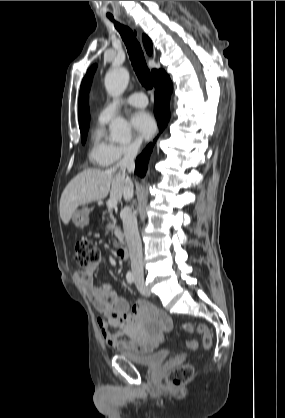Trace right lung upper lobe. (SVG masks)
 <instances>
[{"mask_svg": "<svg viewBox=\"0 0 285 418\" xmlns=\"http://www.w3.org/2000/svg\"><path fill=\"white\" fill-rule=\"evenodd\" d=\"M143 43H144V47L146 49V52L150 55L152 54L153 51V47H152V42L151 40L148 38V36L143 35ZM96 70V65L92 66L86 73L82 83H81V87H80V94H79V126L80 128L88 126L89 123V113H88V94H89V90H90V86H91V82H92V78H93V74ZM152 74L154 77V82L155 85L157 83L160 82L161 78L163 75H165V71L163 70H156L153 69L152 70Z\"/></svg>", "mask_w": 285, "mask_h": 418, "instance_id": "1", "label": "right lung upper lobe"}]
</instances>
